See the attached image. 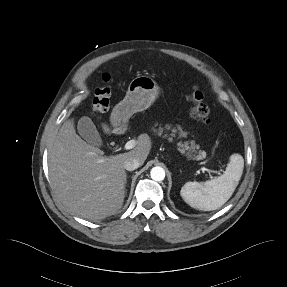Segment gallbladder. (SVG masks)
Returning <instances> with one entry per match:
<instances>
[{"label":"gallbladder","instance_id":"1","mask_svg":"<svg viewBox=\"0 0 287 287\" xmlns=\"http://www.w3.org/2000/svg\"><path fill=\"white\" fill-rule=\"evenodd\" d=\"M77 130L78 133L84 138L88 143L95 145V146H101L102 140L101 137L92 122V120L89 117H81L77 124Z\"/></svg>","mask_w":287,"mask_h":287}]
</instances>
